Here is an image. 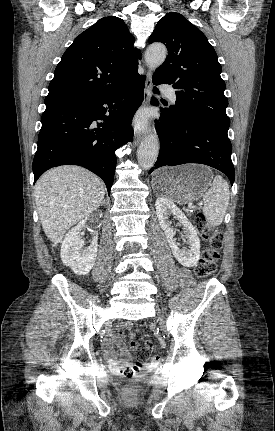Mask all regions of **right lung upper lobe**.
I'll return each mask as SVG.
<instances>
[{"mask_svg":"<svg viewBox=\"0 0 275 431\" xmlns=\"http://www.w3.org/2000/svg\"><path fill=\"white\" fill-rule=\"evenodd\" d=\"M121 18L104 17L81 33L65 51L49 84L45 105L102 96L138 76L141 52Z\"/></svg>","mask_w":275,"mask_h":431,"instance_id":"right-lung-upper-lobe-1","label":"right lung upper lobe"}]
</instances>
